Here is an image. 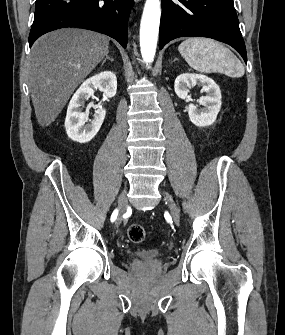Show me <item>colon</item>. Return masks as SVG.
<instances>
[{
    "label": "colon",
    "instance_id": "obj_1",
    "mask_svg": "<svg viewBox=\"0 0 285 335\" xmlns=\"http://www.w3.org/2000/svg\"><path fill=\"white\" fill-rule=\"evenodd\" d=\"M127 235L132 243L140 244L146 239L145 228L140 224H131L127 229Z\"/></svg>",
    "mask_w": 285,
    "mask_h": 335
}]
</instances>
